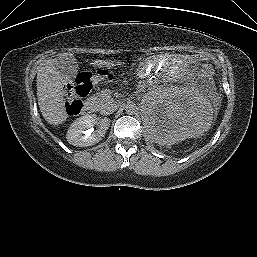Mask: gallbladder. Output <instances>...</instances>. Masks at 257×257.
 Masks as SVG:
<instances>
[{"mask_svg":"<svg viewBox=\"0 0 257 257\" xmlns=\"http://www.w3.org/2000/svg\"><path fill=\"white\" fill-rule=\"evenodd\" d=\"M54 65L64 76L74 78L78 74V63L74 56L69 53L58 55L54 59Z\"/></svg>","mask_w":257,"mask_h":257,"instance_id":"1","label":"gallbladder"}]
</instances>
